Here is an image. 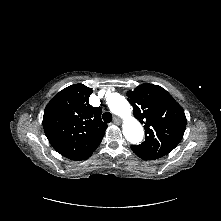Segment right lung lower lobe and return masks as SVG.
Returning <instances> with one entry per match:
<instances>
[{
  "mask_svg": "<svg viewBox=\"0 0 221 221\" xmlns=\"http://www.w3.org/2000/svg\"><path fill=\"white\" fill-rule=\"evenodd\" d=\"M90 156H91V155H89L87 158H89ZM87 158H86V159H87ZM84 160H85V159H84Z\"/></svg>",
  "mask_w": 221,
  "mask_h": 221,
  "instance_id": "obj_1",
  "label": "right lung lower lobe"
}]
</instances>
